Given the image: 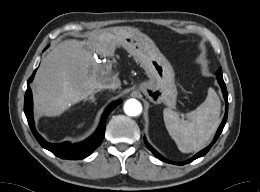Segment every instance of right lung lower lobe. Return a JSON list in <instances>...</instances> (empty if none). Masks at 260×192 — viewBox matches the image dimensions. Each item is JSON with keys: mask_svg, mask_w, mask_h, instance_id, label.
Here are the masks:
<instances>
[{"mask_svg": "<svg viewBox=\"0 0 260 192\" xmlns=\"http://www.w3.org/2000/svg\"><path fill=\"white\" fill-rule=\"evenodd\" d=\"M35 72L32 74V76L29 78L28 83L31 82L34 78ZM121 102V100H117L114 103H112L103 113L102 119L100 121L99 127L95 131V133L89 137L87 140L77 143V144H71L69 142H64L60 144H52L46 142L35 130L34 127V121L32 116V93L31 89L29 87V84L27 85V91L25 94V102H24V112L27 117L29 126L31 128V131L37 141L40 143L42 147L45 149L51 151L54 155L63 158V159H83L87 156H89L101 143L104 138L105 134V124L106 119L110 112Z\"/></svg>", "mask_w": 260, "mask_h": 192, "instance_id": "1", "label": "right lung lower lobe"}]
</instances>
